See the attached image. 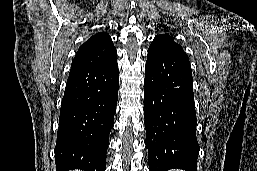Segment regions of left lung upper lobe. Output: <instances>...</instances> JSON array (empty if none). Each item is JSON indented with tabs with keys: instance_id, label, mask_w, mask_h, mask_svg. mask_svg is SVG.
<instances>
[{
	"instance_id": "obj_1",
	"label": "left lung upper lobe",
	"mask_w": 257,
	"mask_h": 171,
	"mask_svg": "<svg viewBox=\"0 0 257 171\" xmlns=\"http://www.w3.org/2000/svg\"><path fill=\"white\" fill-rule=\"evenodd\" d=\"M167 47H175V48L182 49V47L176 42H174L173 38L167 34L156 36L149 48L153 49V48H167Z\"/></svg>"
}]
</instances>
